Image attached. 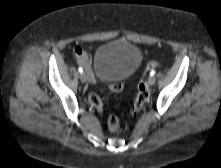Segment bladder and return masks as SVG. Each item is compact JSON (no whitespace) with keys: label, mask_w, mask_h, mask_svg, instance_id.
I'll return each instance as SVG.
<instances>
[{"label":"bladder","mask_w":221,"mask_h":168,"mask_svg":"<svg viewBox=\"0 0 221 168\" xmlns=\"http://www.w3.org/2000/svg\"><path fill=\"white\" fill-rule=\"evenodd\" d=\"M141 61L142 53L137 46L125 40H114L96 49L93 64L97 77L109 82L130 77Z\"/></svg>","instance_id":"obj_1"}]
</instances>
